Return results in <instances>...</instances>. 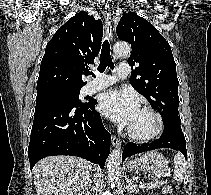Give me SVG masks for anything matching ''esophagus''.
<instances>
[{
	"label": "esophagus",
	"instance_id": "esophagus-1",
	"mask_svg": "<svg viewBox=\"0 0 211 195\" xmlns=\"http://www.w3.org/2000/svg\"><path fill=\"white\" fill-rule=\"evenodd\" d=\"M104 19H105L106 36L109 39V41H112L113 30H112V22H111V10L108 4L105 5ZM111 142H112V145L116 148L121 146V141L116 136H112Z\"/></svg>",
	"mask_w": 211,
	"mask_h": 195
}]
</instances>
